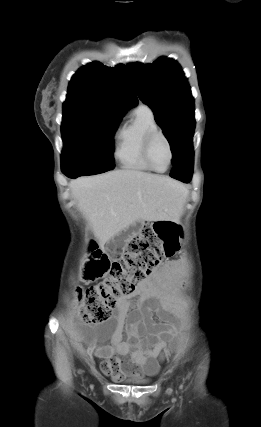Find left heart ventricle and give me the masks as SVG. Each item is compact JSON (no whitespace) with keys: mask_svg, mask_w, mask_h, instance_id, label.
I'll return each instance as SVG.
<instances>
[{"mask_svg":"<svg viewBox=\"0 0 261 427\" xmlns=\"http://www.w3.org/2000/svg\"><path fill=\"white\" fill-rule=\"evenodd\" d=\"M169 157V149L166 142L161 137L156 138L151 148L153 165L159 170H164L168 165Z\"/></svg>","mask_w":261,"mask_h":427,"instance_id":"left-heart-ventricle-1","label":"left heart ventricle"}]
</instances>
